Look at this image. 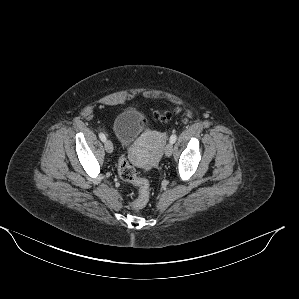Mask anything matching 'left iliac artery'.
<instances>
[{
	"instance_id": "left-iliac-artery-1",
	"label": "left iliac artery",
	"mask_w": 299,
	"mask_h": 299,
	"mask_svg": "<svg viewBox=\"0 0 299 299\" xmlns=\"http://www.w3.org/2000/svg\"><path fill=\"white\" fill-rule=\"evenodd\" d=\"M176 139H177V136H176V135H172V136L170 137V142H171V143H175Z\"/></svg>"
}]
</instances>
